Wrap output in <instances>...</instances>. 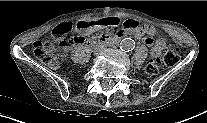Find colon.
<instances>
[{"mask_svg": "<svg viewBox=\"0 0 207 123\" xmlns=\"http://www.w3.org/2000/svg\"><path fill=\"white\" fill-rule=\"evenodd\" d=\"M71 24L61 23L57 25L52 32L53 37L60 41L62 45H71L74 43H82L83 37H72ZM34 54L43 63L57 67L58 61L53 55V45L50 42L38 41L34 44ZM180 54L179 48L175 45L170 46L163 57L160 59H153L146 65V73L148 75H156L160 69L164 67H173L179 62Z\"/></svg>", "mask_w": 207, "mask_h": 123, "instance_id": "obj_1", "label": "colon"}]
</instances>
